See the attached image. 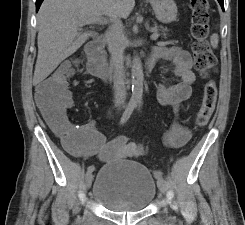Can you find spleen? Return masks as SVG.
<instances>
[{"label":"spleen","instance_id":"spleen-1","mask_svg":"<svg viewBox=\"0 0 245 225\" xmlns=\"http://www.w3.org/2000/svg\"><path fill=\"white\" fill-rule=\"evenodd\" d=\"M210 42L213 48H217L218 46V35L217 34H213L210 38Z\"/></svg>","mask_w":245,"mask_h":225}]
</instances>
